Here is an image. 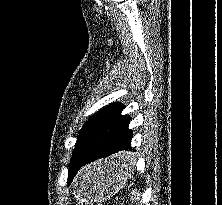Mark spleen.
Returning <instances> with one entry per match:
<instances>
[{"instance_id":"spleen-1","label":"spleen","mask_w":222,"mask_h":205,"mask_svg":"<svg viewBox=\"0 0 222 205\" xmlns=\"http://www.w3.org/2000/svg\"><path fill=\"white\" fill-rule=\"evenodd\" d=\"M133 199L138 200L139 199V194L137 196L133 197Z\"/></svg>"}]
</instances>
